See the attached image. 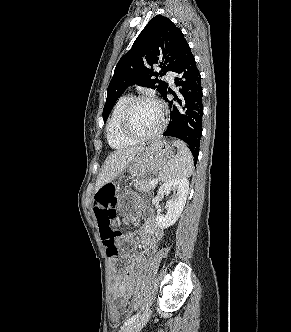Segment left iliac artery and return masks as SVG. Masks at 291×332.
I'll return each mask as SVG.
<instances>
[{
    "label": "left iliac artery",
    "mask_w": 291,
    "mask_h": 332,
    "mask_svg": "<svg viewBox=\"0 0 291 332\" xmlns=\"http://www.w3.org/2000/svg\"><path fill=\"white\" fill-rule=\"evenodd\" d=\"M139 315H140V313H137V314L131 316L130 318H128V319L124 322L123 327H124V326H127V325H129V324H131L132 322H134V321L139 317Z\"/></svg>",
    "instance_id": "left-iliac-artery-1"
}]
</instances>
